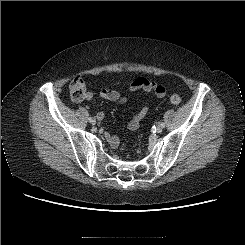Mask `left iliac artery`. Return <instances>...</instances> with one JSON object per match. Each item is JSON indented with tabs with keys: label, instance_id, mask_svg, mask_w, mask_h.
Wrapping results in <instances>:
<instances>
[{
	"label": "left iliac artery",
	"instance_id": "left-iliac-artery-1",
	"mask_svg": "<svg viewBox=\"0 0 245 245\" xmlns=\"http://www.w3.org/2000/svg\"><path fill=\"white\" fill-rule=\"evenodd\" d=\"M160 125L164 128L165 127V123L161 122Z\"/></svg>",
	"mask_w": 245,
	"mask_h": 245
}]
</instances>
